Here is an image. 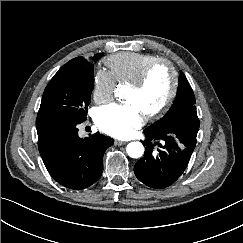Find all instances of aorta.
Listing matches in <instances>:
<instances>
[{"label":"aorta","mask_w":243,"mask_h":243,"mask_svg":"<svg viewBox=\"0 0 243 243\" xmlns=\"http://www.w3.org/2000/svg\"><path fill=\"white\" fill-rule=\"evenodd\" d=\"M126 152L131 158H139L144 153V146L140 142H131L127 145Z\"/></svg>","instance_id":"762f6f07"}]
</instances>
